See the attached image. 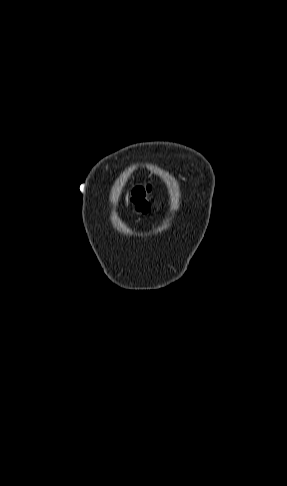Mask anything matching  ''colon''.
<instances>
[{
    "label": "colon",
    "mask_w": 287,
    "mask_h": 486,
    "mask_svg": "<svg viewBox=\"0 0 287 486\" xmlns=\"http://www.w3.org/2000/svg\"><path fill=\"white\" fill-rule=\"evenodd\" d=\"M150 191L151 186H137L131 192V199L135 204L136 209L141 213H146L150 210Z\"/></svg>",
    "instance_id": "colon-1"
}]
</instances>
